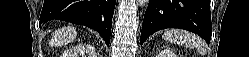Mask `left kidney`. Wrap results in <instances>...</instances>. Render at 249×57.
<instances>
[{"instance_id":"obj_1","label":"left kidney","mask_w":249,"mask_h":57,"mask_svg":"<svg viewBox=\"0 0 249 57\" xmlns=\"http://www.w3.org/2000/svg\"><path fill=\"white\" fill-rule=\"evenodd\" d=\"M156 57H177V55L171 49H164L157 53Z\"/></svg>"}]
</instances>
